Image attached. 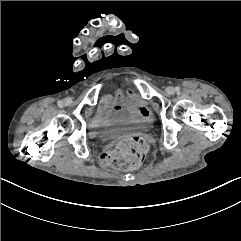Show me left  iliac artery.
I'll return each instance as SVG.
<instances>
[{
	"label": "left iliac artery",
	"mask_w": 241,
	"mask_h": 241,
	"mask_svg": "<svg viewBox=\"0 0 241 241\" xmlns=\"http://www.w3.org/2000/svg\"><path fill=\"white\" fill-rule=\"evenodd\" d=\"M175 90H176L177 92H179V91H180V87L177 86V87L175 88Z\"/></svg>",
	"instance_id": "left-iliac-artery-1"
}]
</instances>
